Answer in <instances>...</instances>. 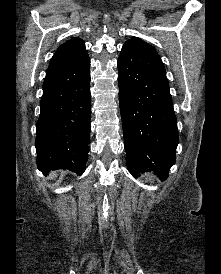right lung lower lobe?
I'll list each match as a JSON object with an SVG mask.
<instances>
[{
    "label": "right lung lower lobe",
    "instance_id": "right-lung-lower-lobe-1",
    "mask_svg": "<svg viewBox=\"0 0 221 274\" xmlns=\"http://www.w3.org/2000/svg\"><path fill=\"white\" fill-rule=\"evenodd\" d=\"M36 124L37 167L82 175L90 138V60L46 77Z\"/></svg>",
    "mask_w": 221,
    "mask_h": 274
}]
</instances>
